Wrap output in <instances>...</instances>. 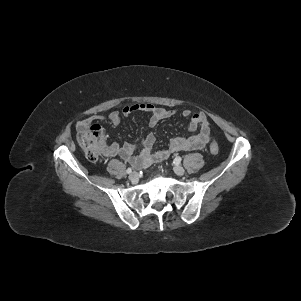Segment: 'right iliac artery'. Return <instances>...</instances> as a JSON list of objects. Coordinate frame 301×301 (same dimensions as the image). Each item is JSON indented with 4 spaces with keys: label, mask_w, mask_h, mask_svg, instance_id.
<instances>
[{
    "label": "right iliac artery",
    "mask_w": 301,
    "mask_h": 301,
    "mask_svg": "<svg viewBox=\"0 0 301 301\" xmlns=\"http://www.w3.org/2000/svg\"><path fill=\"white\" fill-rule=\"evenodd\" d=\"M126 172H127L128 174H130V173L132 172V169H131V168H128V169L126 170Z\"/></svg>",
    "instance_id": "82829eb1"
}]
</instances>
